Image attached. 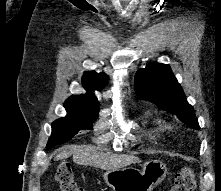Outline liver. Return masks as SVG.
I'll use <instances>...</instances> for the list:
<instances>
[{
	"instance_id": "liver-1",
	"label": "liver",
	"mask_w": 221,
	"mask_h": 191,
	"mask_svg": "<svg viewBox=\"0 0 221 191\" xmlns=\"http://www.w3.org/2000/svg\"><path fill=\"white\" fill-rule=\"evenodd\" d=\"M73 155V161L80 165L94 166L103 170H117L131 164L139 163L140 159L129 155L103 153L89 145L70 146L56 156V160H64Z\"/></svg>"
}]
</instances>
